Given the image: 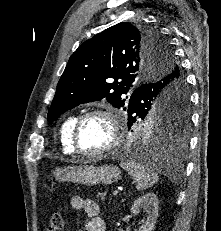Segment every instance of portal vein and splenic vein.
<instances>
[{"label": "portal vein and splenic vein", "mask_w": 221, "mask_h": 231, "mask_svg": "<svg viewBox=\"0 0 221 231\" xmlns=\"http://www.w3.org/2000/svg\"><path fill=\"white\" fill-rule=\"evenodd\" d=\"M117 195H118V191L117 190L113 191V196H117Z\"/></svg>", "instance_id": "1"}]
</instances>
